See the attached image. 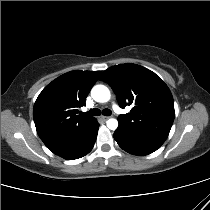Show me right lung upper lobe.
<instances>
[{
    "label": "right lung upper lobe",
    "instance_id": "obj_1",
    "mask_svg": "<svg viewBox=\"0 0 210 210\" xmlns=\"http://www.w3.org/2000/svg\"><path fill=\"white\" fill-rule=\"evenodd\" d=\"M100 71H71L50 84L38 96L33 109L37 133L53 152L90 131L96 119L77 115L97 81Z\"/></svg>",
    "mask_w": 210,
    "mask_h": 210
}]
</instances>
